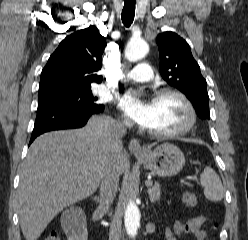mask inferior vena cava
<instances>
[{"label":"inferior vena cava","mask_w":248,"mask_h":240,"mask_svg":"<svg viewBox=\"0 0 248 240\" xmlns=\"http://www.w3.org/2000/svg\"><path fill=\"white\" fill-rule=\"evenodd\" d=\"M131 125L129 120L111 122L107 127L106 138L108 155L105 159L103 174L100 184V206L102 212H107L112 204L118 188L119 172L115 164L113 153L118 151L122 145L121 138L125 135L127 127Z\"/></svg>","instance_id":"1"}]
</instances>
